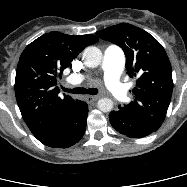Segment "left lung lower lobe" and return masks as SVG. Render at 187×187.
Segmentation results:
<instances>
[{
    "label": "left lung lower lobe",
    "mask_w": 187,
    "mask_h": 187,
    "mask_svg": "<svg viewBox=\"0 0 187 187\" xmlns=\"http://www.w3.org/2000/svg\"><path fill=\"white\" fill-rule=\"evenodd\" d=\"M109 120L116 131L130 138H142L155 132L119 109L110 113Z\"/></svg>",
    "instance_id": "0a47b994"
}]
</instances>
